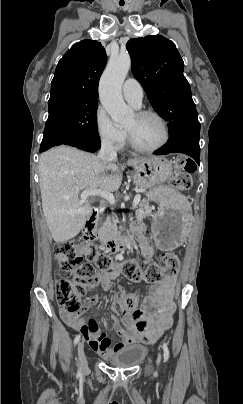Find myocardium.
Segmentation results:
<instances>
[{"label": "myocardium", "instance_id": "myocardium-1", "mask_svg": "<svg viewBox=\"0 0 243 404\" xmlns=\"http://www.w3.org/2000/svg\"><path fill=\"white\" fill-rule=\"evenodd\" d=\"M129 34H135V32H128ZM136 116H146V115H153L155 117H157L163 127H164V139L161 143H159L156 146H152V147H145L142 146L140 144H138L134 138L132 137V135L129 133V131L125 130L129 139V143L131 145V147L139 152H146V153H152V152H156L159 151L161 149H163L170 141L171 138V129H170V125L167 121V119L164 117V115H162L160 112L154 110V109H141L136 111L135 113Z\"/></svg>", "mask_w": 243, "mask_h": 404}]
</instances>
